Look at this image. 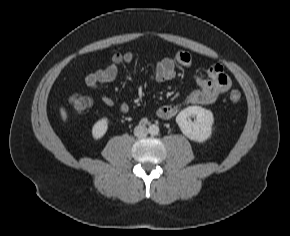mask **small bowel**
Segmentation results:
<instances>
[{"mask_svg":"<svg viewBox=\"0 0 290 236\" xmlns=\"http://www.w3.org/2000/svg\"><path fill=\"white\" fill-rule=\"evenodd\" d=\"M134 61L132 52H118L113 54L111 62L95 71L89 73L85 78V83L90 89H97L99 85L113 81L119 72L121 64H130ZM193 63V58L190 53L179 51L172 57H165L159 60L153 74V79L156 82H166L172 80L176 75V66L189 67ZM208 79L198 76L196 82L199 89L192 91L186 98L187 104L193 105H211L216 103L221 95H223L230 87L231 80L224 72L222 65L213 64L208 68ZM102 103L111 107L114 105V100L110 96H103ZM122 113H127L129 106L122 103L119 106ZM178 112L175 105H163L157 109V116L160 119L167 120L174 117Z\"/></svg>","mask_w":290,"mask_h":236,"instance_id":"obj_1","label":"small bowel"}]
</instances>
